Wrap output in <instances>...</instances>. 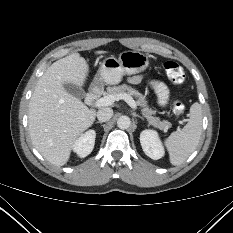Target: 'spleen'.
Segmentation results:
<instances>
[{
  "label": "spleen",
  "instance_id": "obj_1",
  "mask_svg": "<svg viewBox=\"0 0 233 233\" xmlns=\"http://www.w3.org/2000/svg\"><path fill=\"white\" fill-rule=\"evenodd\" d=\"M202 134V108L194 103L190 108V119L182 130L171 133L165 140L172 165L182 164L196 149Z\"/></svg>",
  "mask_w": 233,
  "mask_h": 233
}]
</instances>
